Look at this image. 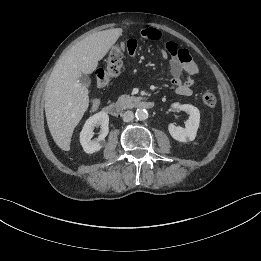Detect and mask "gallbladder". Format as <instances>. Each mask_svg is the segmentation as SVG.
Listing matches in <instances>:
<instances>
[{
    "instance_id": "obj_1",
    "label": "gallbladder",
    "mask_w": 261,
    "mask_h": 261,
    "mask_svg": "<svg viewBox=\"0 0 261 261\" xmlns=\"http://www.w3.org/2000/svg\"><path fill=\"white\" fill-rule=\"evenodd\" d=\"M79 81L80 83L83 85V86H89L90 83H91V80L89 78L88 75H82L80 78H79Z\"/></svg>"
}]
</instances>
